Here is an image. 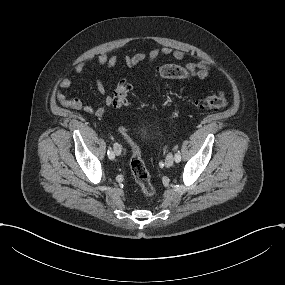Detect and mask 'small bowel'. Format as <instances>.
<instances>
[{
  "instance_id": "1",
  "label": "small bowel",
  "mask_w": 285,
  "mask_h": 285,
  "mask_svg": "<svg viewBox=\"0 0 285 285\" xmlns=\"http://www.w3.org/2000/svg\"><path fill=\"white\" fill-rule=\"evenodd\" d=\"M185 56L182 50H174L170 47L154 48L148 53L138 52L133 55H127L123 58V62L128 67H136L143 62L153 63L161 57H170L174 60H181ZM97 62L102 69H111L117 62L118 57L115 54L102 53L98 56ZM74 71L77 74H83L85 70V62L80 60L74 64ZM185 69L189 72L191 78H197L203 80L207 78L210 71V63L206 60L197 62H189ZM72 85L71 80L68 77H62L59 81V87L61 89H69ZM97 91L101 95H105L103 103L98 107H92L85 104L79 98H69L61 90H57L56 99L63 107L71 108L77 111H83L85 113L94 115L96 117H102L106 111L113 105L112 95L106 94V88L104 82L98 79L96 82Z\"/></svg>"
}]
</instances>
